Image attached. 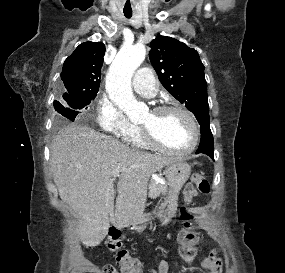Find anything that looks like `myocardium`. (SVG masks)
<instances>
[{"label":"myocardium","instance_id":"1","mask_svg":"<svg viewBox=\"0 0 285 273\" xmlns=\"http://www.w3.org/2000/svg\"><path fill=\"white\" fill-rule=\"evenodd\" d=\"M168 111L179 112L183 114L189 120L192 126V130H193V138H192L191 144L187 148L182 149V150L170 148L162 144L148 128L142 125H139V132H140L141 138L149 146L155 149L161 150L163 152L172 154V155L186 156V155L191 154L192 152L196 150V148L198 147L200 143L201 128H200V124L198 120L196 119V117L190 110H188L187 108L179 104H162V105L156 106L152 110V112H155V113H164Z\"/></svg>","mask_w":285,"mask_h":273}]
</instances>
